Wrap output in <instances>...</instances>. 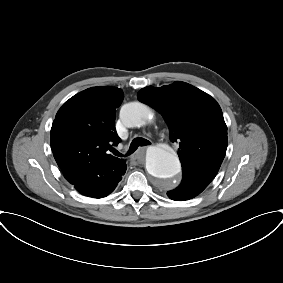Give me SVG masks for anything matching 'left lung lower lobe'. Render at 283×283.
Returning a JSON list of instances; mask_svg holds the SVG:
<instances>
[{"instance_id":"1","label":"left lung lower lobe","mask_w":283,"mask_h":283,"mask_svg":"<svg viewBox=\"0 0 283 283\" xmlns=\"http://www.w3.org/2000/svg\"><path fill=\"white\" fill-rule=\"evenodd\" d=\"M209 184L184 174L181 184L176 189L168 191L167 195L175 201L188 200L200 194Z\"/></svg>"}]
</instances>
